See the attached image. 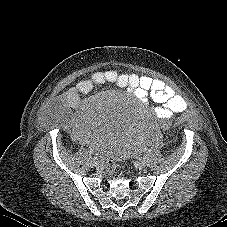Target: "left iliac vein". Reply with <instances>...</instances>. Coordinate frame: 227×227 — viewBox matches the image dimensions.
<instances>
[{
  "mask_svg": "<svg viewBox=\"0 0 227 227\" xmlns=\"http://www.w3.org/2000/svg\"><path fill=\"white\" fill-rule=\"evenodd\" d=\"M137 164H138V166L140 168H145V166H146L147 163H146V160L144 158H139L137 160Z\"/></svg>",
  "mask_w": 227,
  "mask_h": 227,
  "instance_id": "1",
  "label": "left iliac vein"
}]
</instances>
